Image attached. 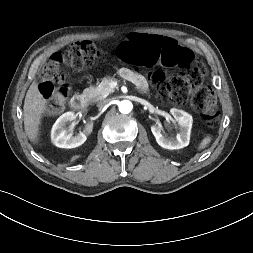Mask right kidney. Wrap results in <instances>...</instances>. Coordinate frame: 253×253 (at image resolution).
<instances>
[{
	"label": "right kidney",
	"instance_id": "ca27d5eb",
	"mask_svg": "<svg viewBox=\"0 0 253 253\" xmlns=\"http://www.w3.org/2000/svg\"><path fill=\"white\" fill-rule=\"evenodd\" d=\"M76 117L77 115L70 111L62 114L56 120L51 130V140L55 146L71 149L82 145L86 141L87 135L92 132L93 124L87 123L83 132L73 136L72 132Z\"/></svg>",
	"mask_w": 253,
	"mask_h": 253
}]
</instances>
